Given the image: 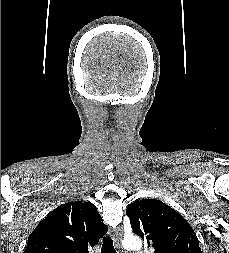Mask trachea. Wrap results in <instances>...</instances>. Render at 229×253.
Returning <instances> with one entry per match:
<instances>
[{
  "instance_id": "trachea-1",
  "label": "trachea",
  "mask_w": 229,
  "mask_h": 253,
  "mask_svg": "<svg viewBox=\"0 0 229 253\" xmlns=\"http://www.w3.org/2000/svg\"><path fill=\"white\" fill-rule=\"evenodd\" d=\"M101 253H116V250L113 246V240L111 237L109 236L104 237Z\"/></svg>"
}]
</instances>
